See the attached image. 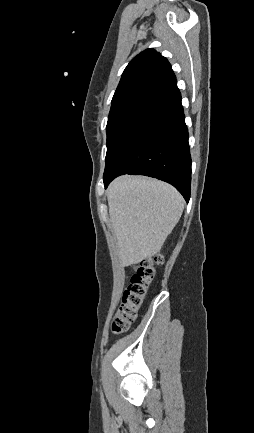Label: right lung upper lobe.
Here are the masks:
<instances>
[{
  "instance_id": "obj_1",
  "label": "right lung upper lobe",
  "mask_w": 254,
  "mask_h": 433,
  "mask_svg": "<svg viewBox=\"0 0 254 433\" xmlns=\"http://www.w3.org/2000/svg\"><path fill=\"white\" fill-rule=\"evenodd\" d=\"M175 79L168 60L154 49H147L125 68L111 104L145 103Z\"/></svg>"
}]
</instances>
